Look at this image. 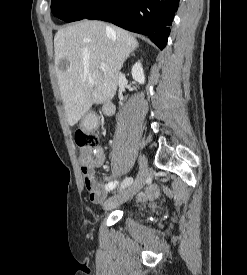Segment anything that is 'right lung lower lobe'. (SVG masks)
<instances>
[{
    "mask_svg": "<svg viewBox=\"0 0 247 275\" xmlns=\"http://www.w3.org/2000/svg\"><path fill=\"white\" fill-rule=\"evenodd\" d=\"M179 0H105L85 18L103 20L150 37L160 49L166 46Z\"/></svg>",
    "mask_w": 247,
    "mask_h": 275,
    "instance_id": "right-lung-lower-lobe-1",
    "label": "right lung lower lobe"
}]
</instances>
